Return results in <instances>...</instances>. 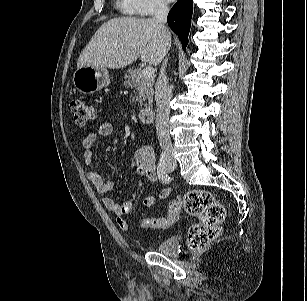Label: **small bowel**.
<instances>
[{
	"label": "small bowel",
	"instance_id": "obj_1",
	"mask_svg": "<svg viewBox=\"0 0 307 301\" xmlns=\"http://www.w3.org/2000/svg\"><path fill=\"white\" fill-rule=\"evenodd\" d=\"M113 133V125L109 122H103L99 125L97 131L89 132L82 140L83 159L86 165L91 166L93 163V146L100 137H108ZM132 165L135 167L139 177L146 178L150 181H156L158 177V168L155 162L154 151L150 146H142L136 150L130 158ZM88 177L94 188L101 195L106 209L115 215L117 224L122 231H128L130 224L124 217L133 210L134 202L138 191L126 199L122 204L117 203L110 197V192L114 186L113 181L105 182L102 176L93 168L88 170ZM171 196V190L168 186L163 187L159 192L161 199H168ZM156 196L150 195L144 198L143 204L146 208H153Z\"/></svg>",
	"mask_w": 307,
	"mask_h": 301
}]
</instances>
